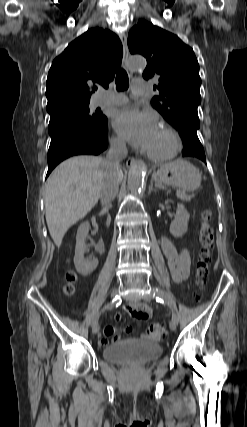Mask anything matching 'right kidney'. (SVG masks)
<instances>
[{
  "label": "right kidney",
  "mask_w": 247,
  "mask_h": 427,
  "mask_svg": "<svg viewBox=\"0 0 247 427\" xmlns=\"http://www.w3.org/2000/svg\"><path fill=\"white\" fill-rule=\"evenodd\" d=\"M90 230V224L88 221L83 222L77 231L76 235V247L74 256V265L77 272L83 276L91 274L98 265L96 258L86 259L84 253L87 250L85 240Z\"/></svg>",
  "instance_id": "obj_1"
}]
</instances>
